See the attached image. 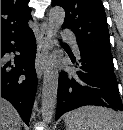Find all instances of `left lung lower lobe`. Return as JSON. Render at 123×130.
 I'll return each instance as SVG.
<instances>
[{
	"label": "left lung lower lobe",
	"mask_w": 123,
	"mask_h": 130,
	"mask_svg": "<svg viewBox=\"0 0 123 130\" xmlns=\"http://www.w3.org/2000/svg\"><path fill=\"white\" fill-rule=\"evenodd\" d=\"M79 60L70 55L74 73H60L55 120L64 113L86 105L123 111L112 57L79 48Z\"/></svg>",
	"instance_id": "1"
}]
</instances>
